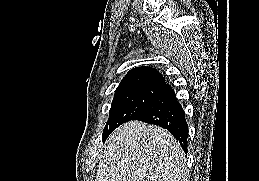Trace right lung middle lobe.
Wrapping results in <instances>:
<instances>
[{
  "label": "right lung middle lobe",
  "instance_id": "obj_1",
  "mask_svg": "<svg viewBox=\"0 0 259 181\" xmlns=\"http://www.w3.org/2000/svg\"><path fill=\"white\" fill-rule=\"evenodd\" d=\"M161 85H135L117 88L103 137L121 124L133 120L155 97Z\"/></svg>",
  "mask_w": 259,
  "mask_h": 181
}]
</instances>
